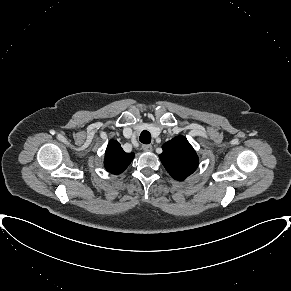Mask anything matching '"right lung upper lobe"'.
I'll use <instances>...</instances> for the list:
<instances>
[{
    "label": "right lung upper lobe",
    "instance_id": "obj_1",
    "mask_svg": "<svg viewBox=\"0 0 291 291\" xmlns=\"http://www.w3.org/2000/svg\"><path fill=\"white\" fill-rule=\"evenodd\" d=\"M134 158V153H125L116 140H111L105 151L104 166L112 174L122 173Z\"/></svg>",
    "mask_w": 291,
    "mask_h": 291
}]
</instances>
